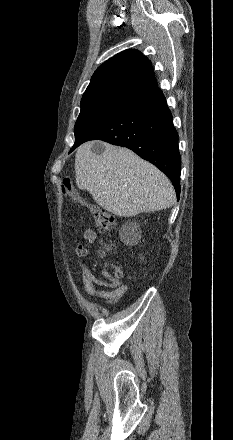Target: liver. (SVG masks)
<instances>
[{
	"label": "liver",
	"instance_id": "6515ba94",
	"mask_svg": "<svg viewBox=\"0 0 233 440\" xmlns=\"http://www.w3.org/2000/svg\"><path fill=\"white\" fill-rule=\"evenodd\" d=\"M95 142L81 145L75 156L76 184L86 189L103 209L120 217H132L170 208L175 191L170 180L154 165L127 148Z\"/></svg>",
	"mask_w": 233,
	"mask_h": 440
}]
</instances>
